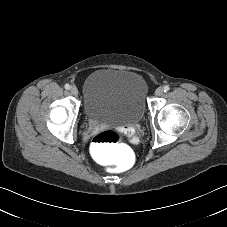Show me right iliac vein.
I'll use <instances>...</instances> for the list:
<instances>
[{
	"mask_svg": "<svg viewBox=\"0 0 227 227\" xmlns=\"http://www.w3.org/2000/svg\"><path fill=\"white\" fill-rule=\"evenodd\" d=\"M70 93L73 95V96H77L78 95V89L76 86H72L70 88Z\"/></svg>",
	"mask_w": 227,
	"mask_h": 227,
	"instance_id": "1",
	"label": "right iliac vein"
}]
</instances>
